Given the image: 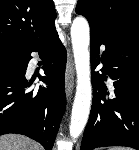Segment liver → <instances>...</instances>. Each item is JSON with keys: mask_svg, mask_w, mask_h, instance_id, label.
Returning a JSON list of instances; mask_svg holds the SVG:
<instances>
[{"mask_svg": "<svg viewBox=\"0 0 139 150\" xmlns=\"http://www.w3.org/2000/svg\"><path fill=\"white\" fill-rule=\"evenodd\" d=\"M33 140L21 135L0 136V150H40Z\"/></svg>", "mask_w": 139, "mask_h": 150, "instance_id": "1", "label": "liver"}]
</instances>
